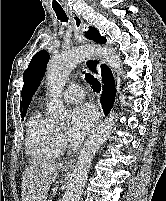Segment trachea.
I'll list each match as a JSON object with an SVG mask.
<instances>
[{
	"mask_svg": "<svg viewBox=\"0 0 166 201\" xmlns=\"http://www.w3.org/2000/svg\"><path fill=\"white\" fill-rule=\"evenodd\" d=\"M53 10L55 11L57 18L61 22H68V17L62 7L54 6ZM85 79L88 81V83H90L95 92L100 91V83L90 73H85Z\"/></svg>",
	"mask_w": 166,
	"mask_h": 201,
	"instance_id": "3493384b",
	"label": "trachea"
}]
</instances>
